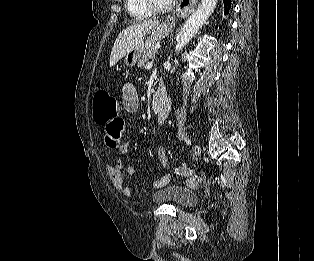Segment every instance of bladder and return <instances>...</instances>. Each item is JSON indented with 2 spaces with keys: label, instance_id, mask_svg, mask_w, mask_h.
<instances>
[{
  "label": "bladder",
  "instance_id": "1",
  "mask_svg": "<svg viewBox=\"0 0 314 261\" xmlns=\"http://www.w3.org/2000/svg\"><path fill=\"white\" fill-rule=\"evenodd\" d=\"M153 200L156 203L189 208L196 205L197 196L194 191L184 186L165 185L154 193Z\"/></svg>",
  "mask_w": 314,
  "mask_h": 261
}]
</instances>
